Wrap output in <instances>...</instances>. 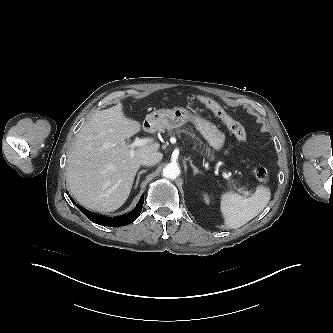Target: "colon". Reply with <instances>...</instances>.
<instances>
[{
  "instance_id": "colon-1",
  "label": "colon",
  "mask_w": 333,
  "mask_h": 333,
  "mask_svg": "<svg viewBox=\"0 0 333 333\" xmlns=\"http://www.w3.org/2000/svg\"><path fill=\"white\" fill-rule=\"evenodd\" d=\"M197 99L209 108L213 114L218 117L228 128V130L235 136L239 142H245L247 135L244 127L235 119H233L222 106L218 104L214 99L198 95ZM254 176L260 182H266L269 178L268 170L263 166H258L254 169Z\"/></svg>"
}]
</instances>
